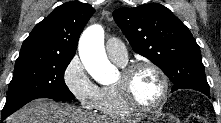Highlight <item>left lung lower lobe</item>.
<instances>
[{"mask_svg": "<svg viewBox=\"0 0 221 123\" xmlns=\"http://www.w3.org/2000/svg\"><path fill=\"white\" fill-rule=\"evenodd\" d=\"M204 94H206L208 97H210V92H204Z\"/></svg>", "mask_w": 221, "mask_h": 123, "instance_id": "obj_1", "label": "left lung lower lobe"}]
</instances>
